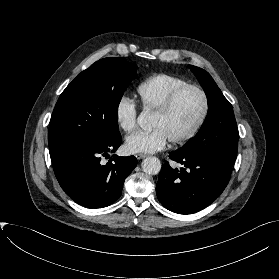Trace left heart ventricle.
<instances>
[{"mask_svg":"<svg viewBox=\"0 0 279 279\" xmlns=\"http://www.w3.org/2000/svg\"><path fill=\"white\" fill-rule=\"evenodd\" d=\"M202 107L201 95L195 90H187L180 94L168 114L153 115L152 127L162 129L169 140L179 138L197 121Z\"/></svg>","mask_w":279,"mask_h":279,"instance_id":"1","label":"left heart ventricle"}]
</instances>
